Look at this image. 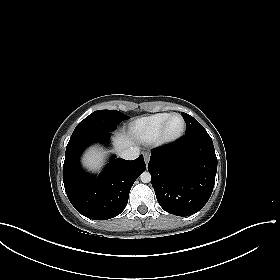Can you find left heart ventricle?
<instances>
[{
    "label": "left heart ventricle",
    "mask_w": 280,
    "mask_h": 280,
    "mask_svg": "<svg viewBox=\"0 0 280 280\" xmlns=\"http://www.w3.org/2000/svg\"><path fill=\"white\" fill-rule=\"evenodd\" d=\"M183 123L181 118L173 117L167 127V134L168 136H174L178 134L182 129Z\"/></svg>",
    "instance_id": "obj_1"
}]
</instances>
